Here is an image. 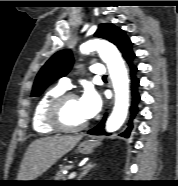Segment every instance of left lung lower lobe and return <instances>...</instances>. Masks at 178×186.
<instances>
[{
	"label": "left lung lower lobe",
	"instance_id": "obj_1",
	"mask_svg": "<svg viewBox=\"0 0 178 186\" xmlns=\"http://www.w3.org/2000/svg\"><path fill=\"white\" fill-rule=\"evenodd\" d=\"M134 58H135V54L130 56L128 59H126L130 66L131 79H132V95H133V102L131 106V119H130V122L128 123V128L121 134V136L126 137V138L130 136V133L132 131V128H133L132 120L134 119L136 113L138 112L137 104L140 100V96L137 92V88L139 86V79L136 78L135 76L138 70H137V67L132 64V61ZM105 121H106V116L96 127L89 130L88 133L93 134V135L107 134L104 131Z\"/></svg>",
	"mask_w": 178,
	"mask_h": 186
}]
</instances>
